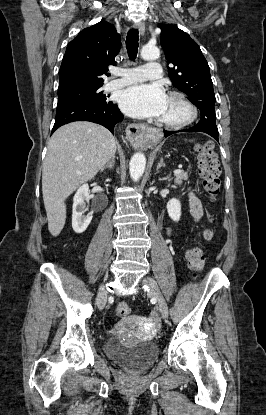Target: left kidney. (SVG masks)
<instances>
[{"instance_id":"5707ae66","label":"left kidney","mask_w":266,"mask_h":415,"mask_svg":"<svg viewBox=\"0 0 266 415\" xmlns=\"http://www.w3.org/2000/svg\"><path fill=\"white\" fill-rule=\"evenodd\" d=\"M167 212L169 217L177 222L180 220L181 217V204L180 201L176 198L171 199L168 203H167Z\"/></svg>"}]
</instances>
